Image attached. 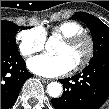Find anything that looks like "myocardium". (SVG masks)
I'll return each instance as SVG.
<instances>
[{"label": "myocardium", "instance_id": "myocardium-1", "mask_svg": "<svg viewBox=\"0 0 109 109\" xmlns=\"http://www.w3.org/2000/svg\"><path fill=\"white\" fill-rule=\"evenodd\" d=\"M81 40H86L87 45H88V50H87V53H86V56L84 57V59L79 64H77L76 66L73 67L74 70L84 69L85 67H87L90 64V62L93 58V55H94V51H95L94 39L89 33L85 32V31L76 33L72 36L62 39V41L64 43H66L67 45H74Z\"/></svg>", "mask_w": 109, "mask_h": 109}]
</instances>
